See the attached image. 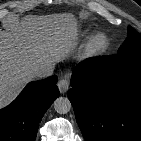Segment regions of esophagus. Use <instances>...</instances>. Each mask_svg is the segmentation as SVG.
Returning a JSON list of instances; mask_svg holds the SVG:
<instances>
[{
    "instance_id": "1",
    "label": "esophagus",
    "mask_w": 141,
    "mask_h": 141,
    "mask_svg": "<svg viewBox=\"0 0 141 141\" xmlns=\"http://www.w3.org/2000/svg\"><path fill=\"white\" fill-rule=\"evenodd\" d=\"M57 86H58L60 93L67 92L69 88L68 79L66 77L62 78L61 80L58 81Z\"/></svg>"
}]
</instances>
